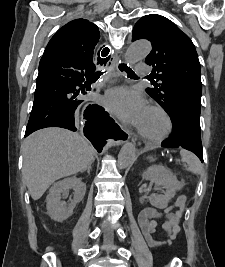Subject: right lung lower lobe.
Listing matches in <instances>:
<instances>
[{"label":"right lung lower lobe","mask_w":225,"mask_h":267,"mask_svg":"<svg viewBox=\"0 0 225 267\" xmlns=\"http://www.w3.org/2000/svg\"><path fill=\"white\" fill-rule=\"evenodd\" d=\"M92 70L83 58L64 53H45L40 64L34 93V103L25 137L46 127H62L76 131L74 114L87 94L82 82ZM93 106L94 121L84 127L85 136L101 152L114 121L98 105Z\"/></svg>","instance_id":"obj_1"}]
</instances>
